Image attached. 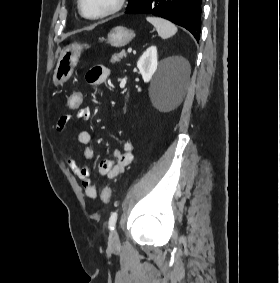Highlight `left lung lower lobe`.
Here are the masks:
<instances>
[{
	"mask_svg": "<svg viewBox=\"0 0 280 283\" xmlns=\"http://www.w3.org/2000/svg\"><path fill=\"white\" fill-rule=\"evenodd\" d=\"M202 0H137L128 7V14H153L186 28L200 39Z\"/></svg>",
	"mask_w": 280,
	"mask_h": 283,
	"instance_id": "obj_1",
	"label": "left lung lower lobe"
}]
</instances>
